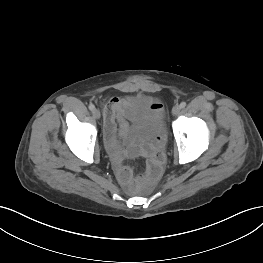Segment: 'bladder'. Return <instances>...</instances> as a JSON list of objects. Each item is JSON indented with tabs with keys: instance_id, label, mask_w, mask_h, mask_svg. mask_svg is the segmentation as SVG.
<instances>
[{
	"instance_id": "1",
	"label": "bladder",
	"mask_w": 263,
	"mask_h": 263,
	"mask_svg": "<svg viewBox=\"0 0 263 263\" xmlns=\"http://www.w3.org/2000/svg\"><path fill=\"white\" fill-rule=\"evenodd\" d=\"M127 113L134 125L135 135L141 140L150 138L159 127L160 116L147 99L140 98L129 103Z\"/></svg>"
}]
</instances>
